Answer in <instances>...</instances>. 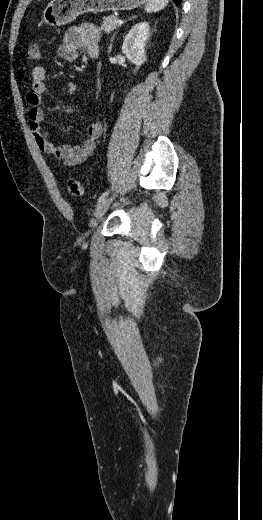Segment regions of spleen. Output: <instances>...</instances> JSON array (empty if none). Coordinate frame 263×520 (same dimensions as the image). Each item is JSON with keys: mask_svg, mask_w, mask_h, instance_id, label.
<instances>
[{"mask_svg": "<svg viewBox=\"0 0 263 520\" xmlns=\"http://www.w3.org/2000/svg\"><path fill=\"white\" fill-rule=\"evenodd\" d=\"M169 0H147L145 11L147 13H154L162 10L167 6Z\"/></svg>", "mask_w": 263, "mask_h": 520, "instance_id": "1", "label": "spleen"}]
</instances>
